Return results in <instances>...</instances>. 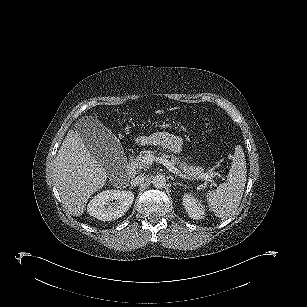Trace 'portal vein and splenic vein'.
Instances as JSON below:
<instances>
[{"instance_id":"1","label":"portal vein and splenic vein","mask_w":307,"mask_h":307,"mask_svg":"<svg viewBox=\"0 0 307 307\" xmlns=\"http://www.w3.org/2000/svg\"><path fill=\"white\" fill-rule=\"evenodd\" d=\"M156 159H158L159 161L162 160L159 159V158H155L153 155L151 154H148L147 156L144 157L143 161L149 165V164H152L153 161H155ZM161 163L166 166V168L174 173V174H177L178 176L182 177V178H185V179H188L187 176L183 173H181L180 170H178L176 167H174V165H172L171 162L169 161H164L162 160ZM196 179H199V180H205V181H209V182H213L212 180V174H209V173H203V174H200L199 176L196 177Z\"/></svg>"}]
</instances>
